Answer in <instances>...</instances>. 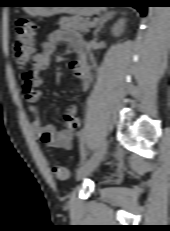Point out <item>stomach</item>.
<instances>
[{
	"mask_svg": "<svg viewBox=\"0 0 170 231\" xmlns=\"http://www.w3.org/2000/svg\"><path fill=\"white\" fill-rule=\"evenodd\" d=\"M30 3L37 4H68L66 0H40ZM25 11L31 15L50 17L59 13L74 14L77 16H89L97 10L95 7H24Z\"/></svg>",
	"mask_w": 170,
	"mask_h": 231,
	"instance_id": "1",
	"label": "stomach"
}]
</instances>
